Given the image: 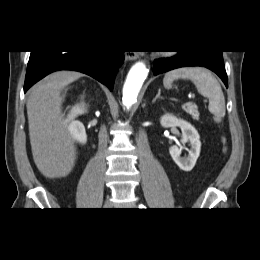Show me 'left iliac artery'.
<instances>
[{
  "instance_id": "44dca946",
  "label": "left iliac artery",
  "mask_w": 260,
  "mask_h": 260,
  "mask_svg": "<svg viewBox=\"0 0 260 260\" xmlns=\"http://www.w3.org/2000/svg\"><path fill=\"white\" fill-rule=\"evenodd\" d=\"M140 208H145L143 205H140Z\"/></svg>"
}]
</instances>
